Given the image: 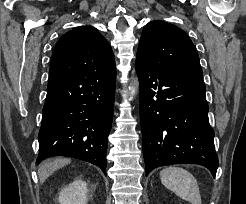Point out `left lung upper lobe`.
Returning <instances> with one entry per match:
<instances>
[{
  "label": "left lung upper lobe",
  "instance_id": "1",
  "mask_svg": "<svg viewBox=\"0 0 246 204\" xmlns=\"http://www.w3.org/2000/svg\"><path fill=\"white\" fill-rule=\"evenodd\" d=\"M136 62L159 71L203 79L197 50L188 35L163 21L145 25Z\"/></svg>",
  "mask_w": 246,
  "mask_h": 204
}]
</instances>
